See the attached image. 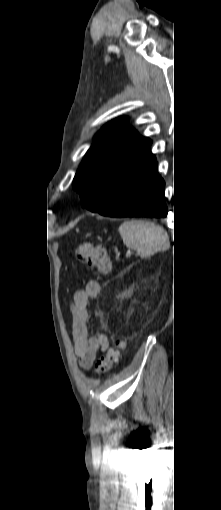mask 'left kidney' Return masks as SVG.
Returning a JSON list of instances; mask_svg holds the SVG:
<instances>
[{
	"label": "left kidney",
	"instance_id": "obj_1",
	"mask_svg": "<svg viewBox=\"0 0 221 510\" xmlns=\"http://www.w3.org/2000/svg\"><path fill=\"white\" fill-rule=\"evenodd\" d=\"M131 292H132V290L130 289V290L122 293V295H120V297L123 299L124 297L130 296Z\"/></svg>",
	"mask_w": 221,
	"mask_h": 510
}]
</instances>
